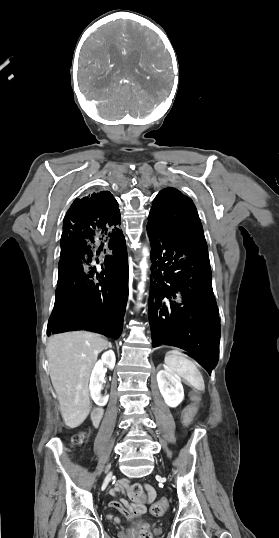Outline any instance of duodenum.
<instances>
[{"instance_id": "obj_1", "label": "duodenum", "mask_w": 279, "mask_h": 538, "mask_svg": "<svg viewBox=\"0 0 279 538\" xmlns=\"http://www.w3.org/2000/svg\"><path fill=\"white\" fill-rule=\"evenodd\" d=\"M92 422L95 424V428H100V423H103L104 413L101 409L92 410Z\"/></svg>"}]
</instances>
